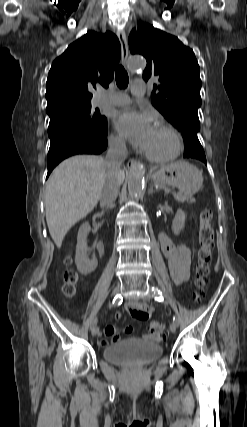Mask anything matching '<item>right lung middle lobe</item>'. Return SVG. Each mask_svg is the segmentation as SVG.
<instances>
[{"mask_svg":"<svg viewBox=\"0 0 247 427\" xmlns=\"http://www.w3.org/2000/svg\"><path fill=\"white\" fill-rule=\"evenodd\" d=\"M52 118H66L80 122L96 131L104 132L107 129V120L98 111L91 112V105L67 106L49 114Z\"/></svg>","mask_w":247,"mask_h":427,"instance_id":"1","label":"right lung middle lobe"}]
</instances>
